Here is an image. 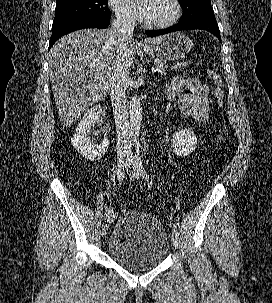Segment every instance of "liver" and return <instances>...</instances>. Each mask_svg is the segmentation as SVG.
<instances>
[{
    "label": "liver",
    "instance_id": "liver-1",
    "mask_svg": "<svg viewBox=\"0 0 272 303\" xmlns=\"http://www.w3.org/2000/svg\"><path fill=\"white\" fill-rule=\"evenodd\" d=\"M115 41L112 28L82 29L61 37L51 48L50 81L63 125H72L89 106L109 94L117 56ZM136 49L131 40L126 50L129 67Z\"/></svg>",
    "mask_w": 272,
    "mask_h": 303
}]
</instances>
